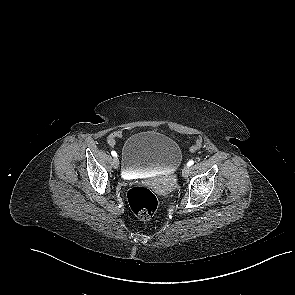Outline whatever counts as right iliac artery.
<instances>
[{
	"label": "right iliac artery",
	"mask_w": 295,
	"mask_h": 295,
	"mask_svg": "<svg viewBox=\"0 0 295 295\" xmlns=\"http://www.w3.org/2000/svg\"><path fill=\"white\" fill-rule=\"evenodd\" d=\"M111 155L116 157L117 156V153L115 151H111Z\"/></svg>",
	"instance_id": "right-iliac-artery-1"
}]
</instances>
